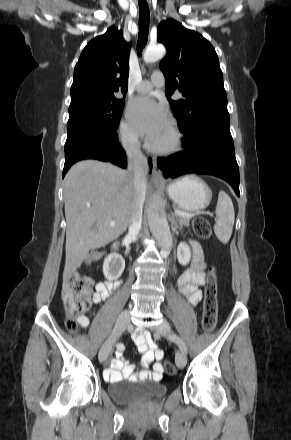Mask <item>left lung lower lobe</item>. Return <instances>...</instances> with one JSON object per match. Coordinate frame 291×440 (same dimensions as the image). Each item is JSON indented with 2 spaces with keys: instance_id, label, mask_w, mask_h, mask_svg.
I'll return each instance as SVG.
<instances>
[{
  "instance_id": "0a47b994",
  "label": "left lung lower lobe",
  "mask_w": 291,
  "mask_h": 440,
  "mask_svg": "<svg viewBox=\"0 0 291 440\" xmlns=\"http://www.w3.org/2000/svg\"><path fill=\"white\" fill-rule=\"evenodd\" d=\"M184 151L157 163L165 177L209 174L227 181L239 193V168L235 158L230 120L218 119L202 124L182 139Z\"/></svg>"
}]
</instances>
